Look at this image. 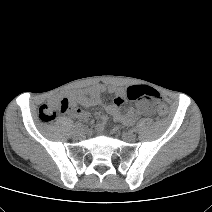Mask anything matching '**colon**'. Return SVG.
<instances>
[{
	"label": "colon",
	"mask_w": 212,
	"mask_h": 212,
	"mask_svg": "<svg viewBox=\"0 0 212 212\" xmlns=\"http://www.w3.org/2000/svg\"><path fill=\"white\" fill-rule=\"evenodd\" d=\"M126 97L130 100L145 99L155 104L160 115L168 114V107L163 102L159 92L152 87L144 85L130 86L126 89ZM70 108L69 101L65 98L54 99L39 108L38 117L43 123L53 121L58 112H65Z\"/></svg>",
	"instance_id": "obj_1"
}]
</instances>
